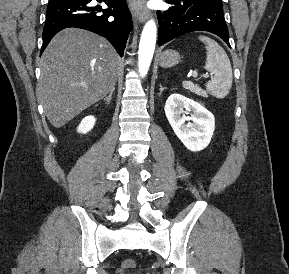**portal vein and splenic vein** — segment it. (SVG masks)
<instances>
[{
  "label": "portal vein and splenic vein",
  "instance_id": "18ae733b",
  "mask_svg": "<svg viewBox=\"0 0 289 274\" xmlns=\"http://www.w3.org/2000/svg\"><path fill=\"white\" fill-rule=\"evenodd\" d=\"M192 76H193L194 78H196V77H197V73H193ZM201 76L204 77V78H209V77H210V75H209L208 73L202 74Z\"/></svg>",
  "mask_w": 289,
  "mask_h": 274
}]
</instances>
